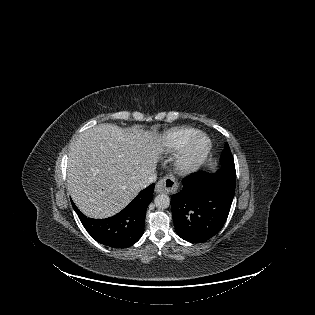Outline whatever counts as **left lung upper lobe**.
Segmentation results:
<instances>
[{
    "instance_id": "5c2ea615",
    "label": "left lung upper lobe",
    "mask_w": 315,
    "mask_h": 315,
    "mask_svg": "<svg viewBox=\"0 0 315 315\" xmlns=\"http://www.w3.org/2000/svg\"><path fill=\"white\" fill-rule=\"evenodd\" d=\"M222 167L235 168L234 159L230 151L228 143L225 144L223 152L220 157Z\"/></svg>"
}]
</instances>
